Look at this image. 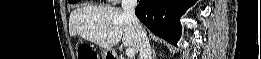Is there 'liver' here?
I'll list each match as a JSON object with an SVG mask.
<instances>
[{
  "label": "liver",
  "instance_id": "1",
  "mask_svg": "<svg viewBox=\"0 0 261 59\" xmlns=\"http://www.w3.org/2000/svg\"><path fill=\"white\" fill-rule=\"evenodd\" d=\"M69 33L105 49H111L122 39L124 46L139 50L133 24L115 7L88 5L74 10L69 18Z\"/></svg>",
  "mask_w": 261,
  "mask_h": 59
}]
</instances>
